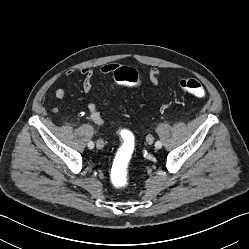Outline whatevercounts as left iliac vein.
<instances>
[{"label":"left iliac vein","mask_w":249,"mask_h":249,"mask_svg":"<svg viewBox=\"0 0 249 249\" xmlns=\"http://www.w3.org/2000/svg\"><path fill=\"white\" fill-rule=\"evenodd\" d=\"M146 141H147L148 144H152L153 141H154L153 136L152 135H148L147 138H146Z\"/></svg>","instance_id":"obj_1"}]
</instances>
